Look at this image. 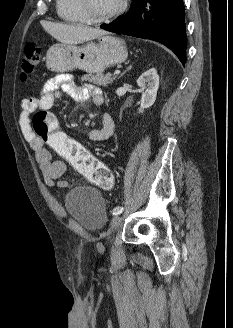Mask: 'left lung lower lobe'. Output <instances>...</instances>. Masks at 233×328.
Segmentation results:
<instances>
[{
  "label": "left lung lower lobe",
  "mask_w": 233,
  "mask_h": 328,
  "mask_svg": "<svg viewBox=\"0 0 233 328\" xmlns=\"http://www.w3.org/2000/svg\"><path fill=\"white\" fill-rule=\"evenodd\" d=\"M102 29L160 42L186 62L183 0H133L128 13Z\"/></svg>",
  "instance_id": "1"
}]
</instances>
